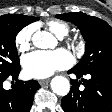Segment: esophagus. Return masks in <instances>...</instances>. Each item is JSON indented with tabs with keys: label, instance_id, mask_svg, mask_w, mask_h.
Segmentation results:
<instances>
[{
	"label": "esophagus",
	"instance_id": "obj_1",
	"mask_svg": "<svg viewBox=\"0 0 112 112\" xmlns=\"http://www.w3.org/2000/svg\"><path fill=\"white\" fill-rule=\"evenodd\" d=\"M48 83H49V79L39 80V84H40L41 86H44V85H46V84H48Z\"/></svg>",
	"mask_w": 112,
	"mask_h": 112
}]
</instances>
